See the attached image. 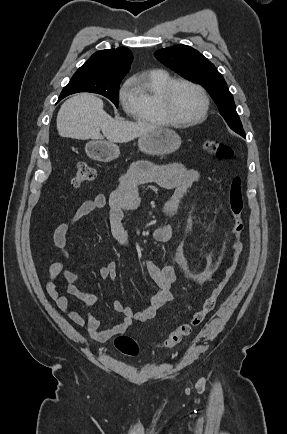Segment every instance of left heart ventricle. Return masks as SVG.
Returning <instances> with one entry per match:
<instances>
[{
	"label": "left heart ventricle",
	"instance_id": "left-heart-ventricle-1",
	"mask_svg": "<svg viewBox=\"0 0 287 434\" xmlns=\"http://www.w3.org/2000/svg\"><path fill=\"white\" fill-rule=\"evenodd\" d=\"M172 110L180 119H192L202 110L203 102L200 93L193 87L179 84L172 93Z\"/></svg>",
	"mask_w": 287,
	"mask_h": 434
}]
</instances>
